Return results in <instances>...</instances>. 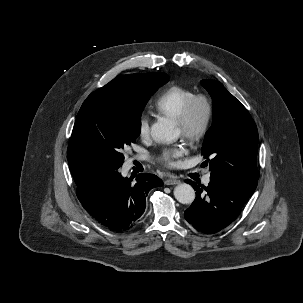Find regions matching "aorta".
Instances as JSON below:
<instances>
[{
	"label": "aorta",
	"mask_w": 303,
	"mask_h": 303,
	"mask_svg": "<svg viewBox=\"0 0 303 303\" xmlns=\"http://www.w3.org/2000/svg\"><path fill=\"white\" fill-rule=\"evenodd\" d=\"M151 134L159 142H172L178 138L179 131L172 121L162 119L152 125ZM174 196L182 204H191L195 199V191L191 185L182 183L175 187Z\"/></svg>",
	"instance_id": "aorta-1"
}]
</instances>
